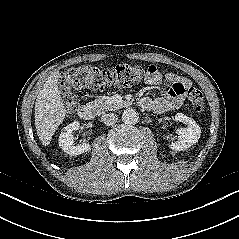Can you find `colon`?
<instances>
[{
	"label": "colon",
	"mask_w": 239,
	"mask_h": 239,
	"mask_svg": "<svg viewBox=\"0 0 239 239\" xmlns=\"http://www.w3.org/2000/svg\"><path fill=\"white\" fill-rule=\"evenodd\" d=\"M144 75L143 67L139 65L122 64L110 69L95 66H77L66 70L60 77V88L69 112H74L77 99L74 91L89 88L101 90L108 87H131L138 84ZM189 105L195 112H202L205 102L202 92L190 88L187 92Z\"/></svg>",
	"instance_id": "obj_1"
}]
</instances>
